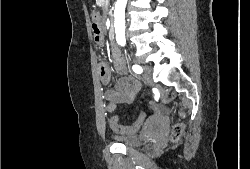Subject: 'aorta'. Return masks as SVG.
<instances>
[{"mask_svg": "<svg viewBox=\"0 0 250 169\" xmlns=\"http://www.w3.org/2000/svg\"><path fill=\"white\" fill-rule=\"evenodd\" d=\"M127 0H117L114 10L115 34L119 42L125 40V8Z\"/></svg>", "mask_w": 250, "mask_h": 169, "instance_id": "1", "label": "aorta"}]
</instances>
